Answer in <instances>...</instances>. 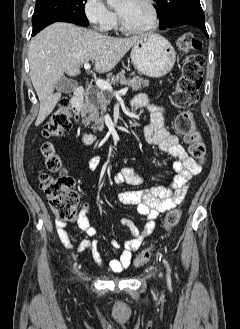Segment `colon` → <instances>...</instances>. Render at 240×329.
Returning <instances> with one entry per match:
<instances>
[{
  "label": "colon",
  "instance_id": "5ec220e1",
  "mask_svg": "<svg viewBox=\"0 0 240 329\" xmlns=\"http://www.w3.org/2000/svg\"><path fill=\"white\" fill-rule=\"evenodd\" d=\"M178 47L182 53L188 54L182 60L181 76L175 90L171 94V103L175 108L183 111L175 121L176 130L184 138L189 153L198 161H204L206 146L196 125L193 113L188 110L199 98V89L203 82L204 57L198 53L201 47L200 41L192 33H184L180 36ZM71 115L69 111V99L63 96L59 99L52 111L45 127V134L49 137H60L69 128ZM41 151L45 156L46 168L58 176L40 174L39 184L45 193L50 209L61 222H72L77 217V208L80 204V194L74 188L71 177L63 173L61 159L54 153L50 143H44ZM181 218V210H170L164 219L166 230L175 227ZM151 258V250L144 249L134 260V266L140 267Z\"/></svg>",
  "mask_w": 240,
  "mask_h": 329
}]
</instances>
